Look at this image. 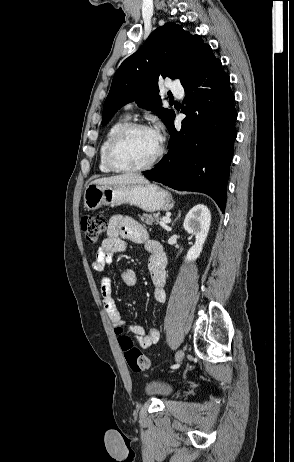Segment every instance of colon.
<instances>
[{
	"instance_id": "5ec220e1",
	"label": "colon",
	"mask_w": 294,
	"mask_h": 462,
	"mask_svg": "<svg viewBox=\"0 0 294 462\" xmlns=\"http://www.w3.org/2000/svg\"><path fill=\"white\" fill-rule=\"evenodd\" d=\"M81 228L89 244H96L106 229V220L101 216H85L81 219ZM118 341L124 352L128 366L134 372H142L149 368L148 358L134 346L132 339L116 328Z\"/></svg>"
}]
</instances>
